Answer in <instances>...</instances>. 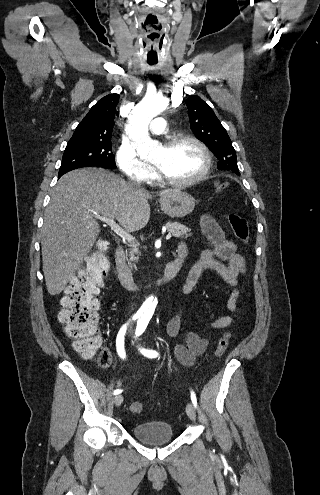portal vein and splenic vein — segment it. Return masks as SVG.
<instances>
[{
	"instance_id": "1",
	"label": "portal vein and splenic vein",
	"mask_w": 320,
	"mask_h": 495,
	"mask_svg": "<svg viewBox=\"0 0 320 495\" xmlns=\"http://www.w3.org/2000/svg\"><path fill=\"white\" fill-rule=\"evenodd\" d=\"M94 217L95 218H98L104 222H106L110 228L117 234L119 235L121 238H123L124 240H127L129 243H133V246L135 245V238L129 234L127 231H125L124 229H122L114 220L113 217H104V216H101L99 215L98 213H93ZM172 235L171 234H168L166 236L167 239L171 238Z\"/></svg>"
}]
</instances>
